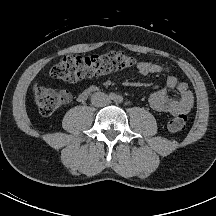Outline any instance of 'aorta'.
I'll return each mask as SVG.
<instances>
[{
	"label": "aorta",
	"instance_id": "aorta-1",
	"mask_svg": "<svg viewBox=\"0 0 216 216\" xmlns=\"http://www.w3.org/2000/svg\"><path fill=\"white\" fill-rule=\"evenodd\" d=\"M113 100L116 102V103H121L123 101V97L121 95H115L113 97Z\"/></svg>",
	"mask_w": 216,
	"mask_h": 216
}]
</instances>
